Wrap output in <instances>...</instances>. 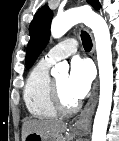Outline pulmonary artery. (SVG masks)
Wrapping results in <instances>:
<instances>
[{
	"mask_svg": "<svg viewBox=\"0 0 119 141\" xmlns=\"http://www.w3.org/2000/svg\"><path fill=\"white\" fill-rule=\"evenodd\" d=\"M77 47L78 42L76 39H65L50 49L49 52L44 56L43 60L54 64L57 61H60L74 54L77 51Z\"/></svg>",
	"mask_w": 119,
	"mask_h": 141,
	"instance_id": "obj_1",
	"label": "pulmonary artery"
}]
</instances>
